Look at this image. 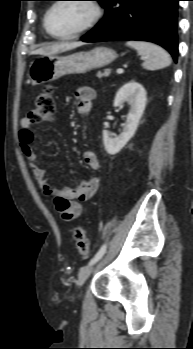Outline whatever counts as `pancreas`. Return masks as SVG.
Masks as SVG:
<instances>
[{
  "label": "pancreas",
  "mask_w": 193,
  "mask_h": 349,
  "mask_svg": "<svg viewBox=\"0 0 193 349\" xmlns=\"http://www.w3.org/2000/svg\"><path fill=\"white\" fill-rule=\"evenodd\" d=\"M109 74H110V70L107 69V70H105L104 72H98V73H97V77H99V78L107 77V76H109Z\"/></svg>",
  "instance_id": "obj_1"
}]
</instances>
